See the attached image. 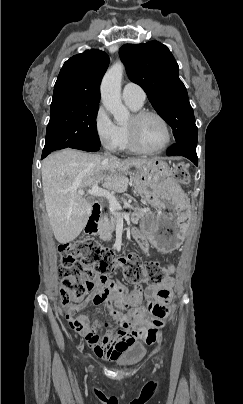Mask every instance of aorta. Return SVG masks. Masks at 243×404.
<instances>
[{
    "label": "aorta",
    "mask_w": 243,
    "mask_h": 404,
    "mask_svg": "<svg viewBox=\"0 0 243 404\" xmlns=\"http://www.w3.org/2000/svg\"><path fill=\"white\" fill-rule=\"evenodd\" d=\"M123 70L122 62H115L107 70L100 88L102 104L114 116L116 122H127L130 116L128 108L122 104L120 94Z\"/></svg>",
    "instance_id": "762f6f07"
}]
</instances>
